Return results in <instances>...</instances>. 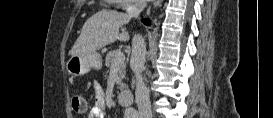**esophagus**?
Listing matches in <instances>:
<instances>
[{
    "instance_id": "1",
    "label": "esophagus",
    "mask_w": 273,
    "mask_h": 118,
    "mask_svg": "<svg viewBox=\"0 0 273 118\" xmlns=\"http://www.w3.org/2000/svg\"><path fill=\"white\" fill-rule=\"evenodd\" d=\"M161 4H162V0H158V1L154 2L153 7H154V8H157V7H159Z\"/></svg>"
}]
</instances>
